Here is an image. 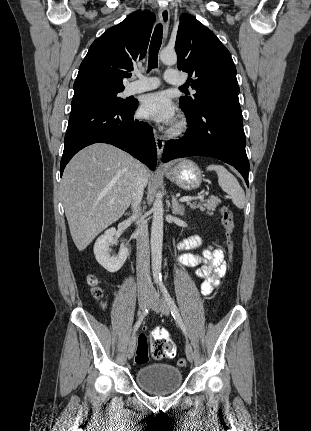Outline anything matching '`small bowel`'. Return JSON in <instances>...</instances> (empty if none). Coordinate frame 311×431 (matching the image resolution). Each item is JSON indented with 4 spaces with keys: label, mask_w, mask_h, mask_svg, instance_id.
<instances>
[{
    "label": "small bowel",
    "mask_w": 311,
    "mask_h": 431,
    "mask_svg": "<svg viewBox=\"0 0 311 431\" xmlns=\"http://www.w3.org/2000/svg\"><path fill=\"white\" fill-rule=\"evenodd\" d=\"M201 239L198 236H191L180 243V248L186 252L180 256V261L186 266L195 268L196 275L203 281L201 284L202 293L210 294L217 287L221 279L227 272V264L224 259V252L220 248L209 246L201 255L194 254L191 250L199 247ZM164 336L167 334L160 329L152 332V337Z\"/></svg>",
    "instance_id": "small-bowel-1"
}]
</instances>
